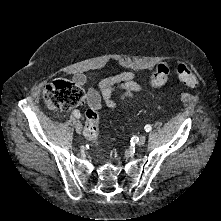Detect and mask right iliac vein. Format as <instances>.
<instances>
[{"mask_svg": "<svg viewBox=\"0 0 221 221\" xmlns=\"http://www.w3.org/2000/svg\"><path fill=\"white\" fill-rule=\"evenodd\" d=\"M75 128L78 134H81L82 131V124L79 120L75 121Z\"/></svg>", "mask_w": 221, "mask_h": 221, "instance_id": "right-iliac-vein-1", "label": "right iliac vein"}]
</instances>
